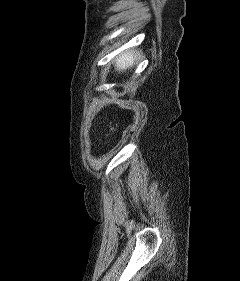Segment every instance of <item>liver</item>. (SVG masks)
I'll list each match as a JSON object with an SVG mask.
<instances>
[{
    "instance_id": "6515ba94",
    "label": "liver",
    "mask_w": 240,
    "mask_h": 281,
    "mask_svg": "<svg viewBox=\"0 0 240 281\" xmlns=\"http://www.w3.org/2000/svg\"><path fill=\"white\" fill-rule=\"evenodd\" d=\"M137 52L134 50L126 51L116 57L115 59V69L120 71L126 70L131 64H133Z\"/></svg>"
}]
</instances>
